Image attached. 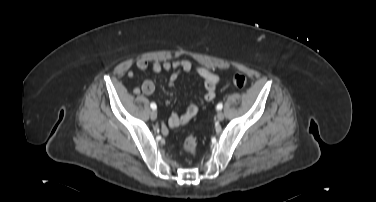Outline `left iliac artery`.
<instances>
[{
  "instance_id": "44dca946",
  "label": "left iliac artery",
  "mask_w": 376,
  "mask_h": 202,
  "mask_svg": "<svg viewBox=\"0 0 376 202\" xmlns=\"http://www.w3.org/2000/svg\"><path fill=\"white\" fill-rule=\"evenodd\" d=\"M223 108V105L221 103L217 104V109L221 110Z\"/></svg>"
}]
</instances>
